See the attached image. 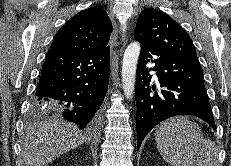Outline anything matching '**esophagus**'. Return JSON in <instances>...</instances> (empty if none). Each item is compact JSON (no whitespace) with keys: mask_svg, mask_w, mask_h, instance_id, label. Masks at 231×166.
<instances>
[{"mask_svg":"<svg viewBox=\"0 0 231 166\" xmlns=\"http://www.w3.org/2000/svg\"><path fill=\"white\" fill-rule=\"evenodd\" d=\"M126 39V32L124 31L123 34H122V38H121V41L124 42Z\"/></svg>","mask_w":231,"mask_h":166,"instance_id":"34e87169","label":"esophagus"}]
</instances>
